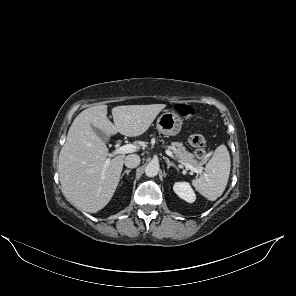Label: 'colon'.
Here are the masks:
<instances>
[{
    "label": "colon",
    "mask_w": 296,
    "mask_h": 296,
    "mask_svg": "<svg viewBox=\"0 0 296 296\" xmlns=\"http://www.w3.org/2000/svg\"><path fill=\"white\" fill-rule=\"evenodd\" d=\"M175 111L182 117L190 118L194 114L193 108L184 103H178L174 106ZM189 144L195 150V156L199 160H204L207 157L205 150L206 141L204 136L200 134H193L189 137Z\"/></svg>",
    "instance_id": "5ec220e1"
}]
</instances>
